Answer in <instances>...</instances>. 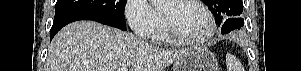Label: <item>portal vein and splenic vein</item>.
Returning a JSON list of instances; mask_svg holds the SVG:
<instances>
[{"mask_svg":"<svg viewBox=\"0 0 301 71\" xmlns=\"http://www.w3.org/2000/svg\"><path fill=\"white\" fill-rule=\"evenodd\" d=\"M118 71H128V66H122Z\"/></svg>","mask_w":301,"mask_h":71,"instance_id":"1","label":"portal vein and splenic vein"}]
</instances>
